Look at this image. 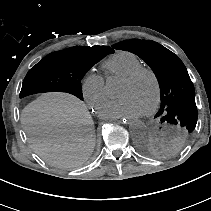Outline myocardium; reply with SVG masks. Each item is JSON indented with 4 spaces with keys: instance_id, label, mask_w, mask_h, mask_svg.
<instances>
[{
    "instance_id": "1",
    "label": "myocardium",
    "mask_w": 211,
    "mask_h": 211,
    "mask_svg": "<svg viewBox=\"0 0 211 211\" xmlns=\"http://www.w3.org/2000/svg\"><path fill=\"white\" fill-rule=\"evenodd\" d=\"M142 74L149 75L155 85L154 101H153L152 105L147 110H145L143 112L144 115H151L154 112H156V110L159 108V105H160L161 99H162V86H161V82H160V79H159L157 73L149 67L141 66V67H138L135 70L131 71L126 76L122 77V81L133 82Z\"/></svg>"
}]
</instances>
